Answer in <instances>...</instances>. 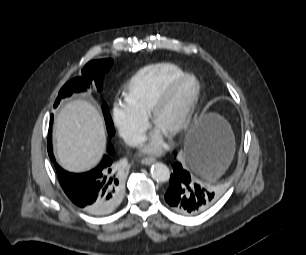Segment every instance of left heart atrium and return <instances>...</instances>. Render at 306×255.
I'll use <instances>...</instances> for the list:
<instances>
[{"label": "left heart atrium", "instance_id": "obj_1", "mask_svg": "<svg viewBox=\"0 0 306 255\" xmlns=\"http://www.w3.org/2000/svg\"><path fill=\"white\" fill-rule=\"evenodd\" d=\"M165 134V130L156 127L149 139L148 144L145 146L144 151L147 153H160L165 148Z\"/></svg>", "mask_w": 306, "mask_h": 255}]
</instances>
